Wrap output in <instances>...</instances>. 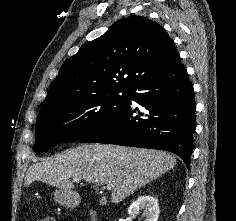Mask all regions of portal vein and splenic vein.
I'll return each instance as SVG.
<instances>
[{
	"label": "portal vein and splenic vein",
	"instance_id": "1",
	"mask_svg": "<svg viewBox=\"0 0 236 221\" xmlns=\"http://www.w3.org/2000/svg\"><path fill=\"white\" fill-rule=\"evenodd\" d=\"M73 181H76V182H79L80 181V178H78V177H75V178H73L72 179ZM104 188H106V190H112L113 188H114V185H112V184H109V185H106V187H104Z\"/></svg>",
	"mask_w": 236,
	"mask_h": 221
}]
</instances>
